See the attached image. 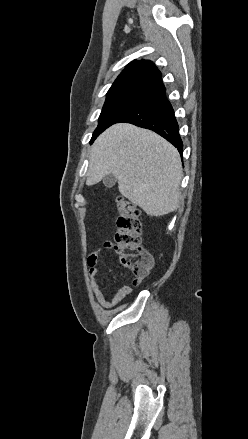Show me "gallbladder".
I'll return each instance as SVG.
<instances>
[{
  "mask_svg": "<svg viewBox=\"0 0 248 439\" xmlns=\"http://www.w3.org/2000/svg\"><path fill=\"white\" fill-rule=\"evenodd\" d=\"M117 179L113 174H108L104 177L103 183L106 188H111L115 185Z\"/></svg>",
  "mask_w": 248,
  "mask_h": 439,
  "instance_id": "obj_1",
  "label": "gallbladder"
}]
</instances>
